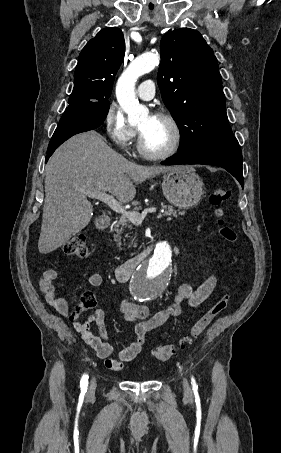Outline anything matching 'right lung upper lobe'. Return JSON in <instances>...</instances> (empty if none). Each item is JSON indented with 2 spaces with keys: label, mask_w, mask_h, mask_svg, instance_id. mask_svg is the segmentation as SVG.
Wrapping results in <instances>:
<instances>
[{
  "label": "right lung upper lobe",
  "mask_w": 281,
  "mask_h": 453,
  "mask_svg": "<svg viewBox=\"0 0 281 453\" xmlns=\"http://www.w3.org/2000/svg\"><path fill=\"white\" fill-rule=\"evenodd\" d=\"M124 54L125 41L119 28L102 29L91 39L79 55L68 107L109 103L114 78Z\"/></svg>",
  "instance_id": "cb5924a9"
}]
</instances>
